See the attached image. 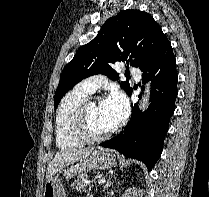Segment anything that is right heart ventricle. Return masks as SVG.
Here are the masks:
<instances>
[{
	"instance_id": "e07e8e85",
	"label": "right heart ventricle",
	"mask_w": 209,
	"mask_h": 197,
	"mask_svg": "<svg viewBox=\"0 0 209 197\" xmlns=\"http://www.w3.org/2000/svg\"><path fill=\"white\" fill-rule=\"evenodd\" d=\"M92 92L80 85L68 92L60 102L55 117L56 144L60 149L67 150L81 145L70 133V119L78 106L84 102Z\"/></svg>"
}]
</instances>
